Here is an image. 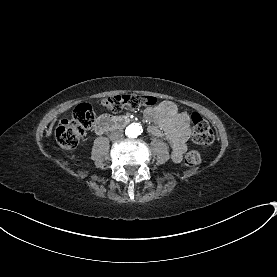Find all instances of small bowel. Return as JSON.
Returning a JSON list of instances; mask_svg holds the SVG:
<instances>
[{
    "label": "small bowel",
    "instance_id": "1",
    "mask_svg": "<svg viewBox=\"0 0 277 277\" xmlns=\"http://www.w3.org/2000/svg\"><path fill=\"white\" fill-rule=\"evenodd\" d=\"M144 115L153 122L148 128L149 133L167 139L171 145L172 159L180 162L187 149L186 142L191 136L188 114L180 112L173 102L164 100L145 109Z\"/></svg>",
    "mask_w": 277,
    "mask_h": 277
}]
</instances>
